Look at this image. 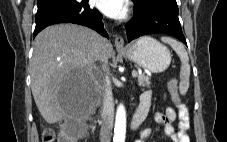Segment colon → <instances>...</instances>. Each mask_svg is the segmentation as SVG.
<instances>
[{
  "mask_svg": "<svg viewBox=\"0 0 227 142\" xmlns=\"http://www.w3.org/2000/svg\"><path fill=\"white\" fill-rule=\"evenodd\" d=\"M177 81L172 80L169 83V92L172 100L177 104L179 103L177 94ZM79 129L76 127H69L62 130L58 135L53 129H45L42 134V142H76Z\"/></svg>",
  "mask_w": 227,
  "mask_h": 142,
  "instance_id": "obj_1",
  "label": "colon"
}]
</instances>
